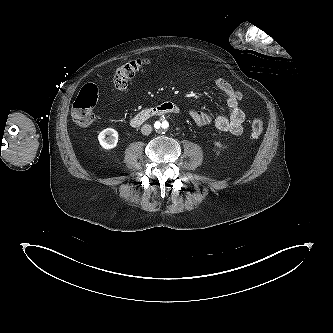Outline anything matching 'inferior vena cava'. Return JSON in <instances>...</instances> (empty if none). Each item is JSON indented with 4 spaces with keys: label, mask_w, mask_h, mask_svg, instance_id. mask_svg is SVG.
Instances as JSON below:
<instances>
[{
    "label": "inferior vena cava",
    "mask_w": 333,
    "mask_h": 333,
    "mask_svg": "<svg viewBox=\"0 0 333 333\" xmlns=\"http://www.w3.org/2000/svg\"><path fill=\"white\" fill-rule=\"evenodd\" d=\"M152 132V126L150 124H144L141 127V133L143 135H149Z\"/></svg>",
    "instance_id": "obj_1"
}]
</instances>
